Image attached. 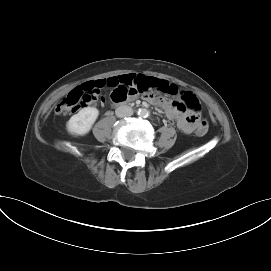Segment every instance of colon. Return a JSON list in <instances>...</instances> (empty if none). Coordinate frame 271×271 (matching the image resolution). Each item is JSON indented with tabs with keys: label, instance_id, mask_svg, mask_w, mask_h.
Here are the masks:
<instances>
[{
	"label": "colon",
	"instance_id": "1",
	"mask_svg": "<svg viewBox=\"0 0 271 271\" xmlns=\"http://www.w3.org/2000/svg\"><path fill=\"white\" fill-rule=\"evenodd\" d=\"M96 94L97 91L91 86L76 87L56 106V112L60 114L74 112L80 107L89 104ZM181 98L183 103H177L178 108L181 110L188 108L193 113L196 134L199 136L205 135L208 131V122L206 117L200 114L199 101L189 92H183Z\"/></svg>",
	"mask_w": 271,
	"mask_h": 271
}]
</instances>
